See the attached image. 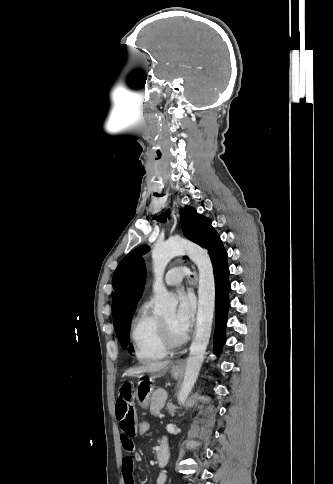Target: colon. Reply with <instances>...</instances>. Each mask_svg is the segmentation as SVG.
<instances>
[{"label":"colon","mask_w":333,"mask_h":484,"mask_svg":"<svg viewBox=\"0 0 333 484\" xmlns=\"http://www.w3.org/2000/svg\"><path fill=\"white\" fill-rule=\"evenodd\" d=\"M151 429V424L148 420L141 419L137 423V435L144 436L146 435Z\"/></svg>","instance_id":"5ec220e1"}]
</instances>
